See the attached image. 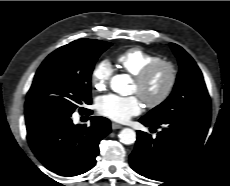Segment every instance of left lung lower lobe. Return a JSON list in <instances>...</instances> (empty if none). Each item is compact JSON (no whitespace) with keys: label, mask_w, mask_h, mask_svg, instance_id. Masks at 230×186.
Returning a JSON list of instances; mask_svg holds the SVG:
<instances>
[{"label":"left lung lower lobe","mask_w":230,"mask_h":186,"mask_svg":"<svg viewBox=\"0 0 230 186\" xmlns=\"http://www.w3.org/2000/svg\"><path fill=\"white\" fill-rule=\"evenodd\" d=\"M211 113L178 115L160 122L145 117L140 122L151 129L164 126L152 138L137 131L134 151L129 157L131 168L149 179L165 181L184 168L201 149L210 125Z\"/></svg>","instance_id":"left-lung-lower-lobe-1"}]
</instances>
